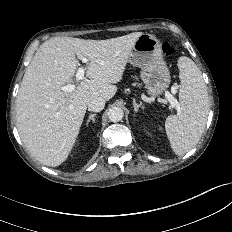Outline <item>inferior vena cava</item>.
Wrapping results in <instances>:
<instances>
[{"label": "inferior vena cava", "instance_id": "602c4592", "mask_svg": "<svg viewBox=\"0 0 232 232\" xmlns=\"http://www.w3.org/2000/svg\"><path fill=\"white\" fill-rule=\"evenodd\" d=\"M105 107V100L101 97L93 98L88 104V110L92 112H99Z\"/></svg>", "mask_w": 232, "mask_h": 232}]
</instances>
